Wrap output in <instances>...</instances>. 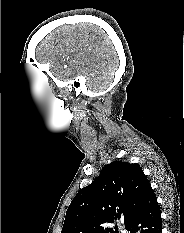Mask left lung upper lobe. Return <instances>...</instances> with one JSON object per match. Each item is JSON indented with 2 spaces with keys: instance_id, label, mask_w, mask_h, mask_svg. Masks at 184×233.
<instances>
[{
  "instance_id": "1",
  "label": "left lung upper lobe",
  "mask_w": 184,
  "mask_h": 233,
  "mask_svg": "<svg viewBox=\"0 0 184 233\" xmlns=\"http://www.w3.org/2000/svg\"><path fill=\"white\" fill-rule=\"evenodd\" d=\"M152 190L137 164L114 161L79 190L69 205L61 233H118L108 223L124 221L128 229L134 215Z\"/></svg>"
}]
</instances>
